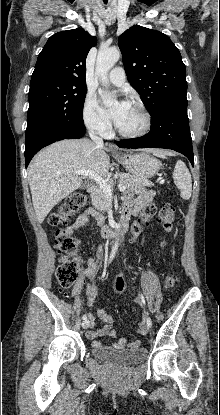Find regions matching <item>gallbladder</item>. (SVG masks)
<instances>
[{
	"instance_id": "gallbladder-1",
	"label": "gallbladder",
	"mask_w": 220,
	"mask_h": 415,
	"mask_svg": "<svg viewBox=\"0 0 220 415\" xmlns=\"http://www.w3.org/2000/svg\"><path fill=\"white\" fill-rule=\"evenodd\" d=\"M84 187H85V185H82V186H81V188H84Z\"/></svg>"
}]
</instances>
